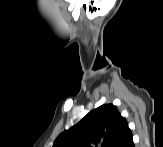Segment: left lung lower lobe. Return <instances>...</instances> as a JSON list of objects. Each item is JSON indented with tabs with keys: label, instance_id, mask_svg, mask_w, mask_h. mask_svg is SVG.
Listing matches in <instances>:
<instances>
[{
	"label": "left lung lower lobe",
	"instance_id": "1",
	"mask_svg": "<svg viewBox=\"0 0 163 147\" xmlns=\"http://www.w3.org/2000/svg\"><path fill=\"white\" fill-rule=\"evenodd\" d=\"M114 147H134L132 133L128 126L125 128Z\"/></svg>",
	"mask_w": 163,
	"mask_h": 147
}]
</instances>
